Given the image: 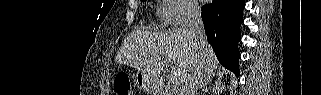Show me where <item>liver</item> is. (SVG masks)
Instances as JSON below:
<instances>
[{
    "label": "liver",
    "instance_id": "obj_1",
    "mask_svg": "<svg viewBox=\"0 0 321 95\" xmlns=\"http://www.w3.org/2000/svg\"><path fill=\"white\" fill-rule=\"evenodd\" d=\"M201 60L210 74L218 66L208 42L200 49L185 27L165 33L134 30L128 34L116 56L117 63L139 69L152 79L166 72L167 65L173 63L171 73L180 83H184Z\"/></svg>",
    "mask_w": 321,
    "mask_h": 95
}]
</instances>
